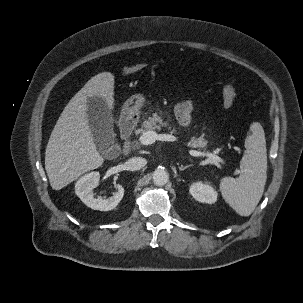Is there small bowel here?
Returning <instances> with one entry per match:
<instances>
[{"instance_id": "c3829d8e", "label": "small bowel", "mask_w": 303, "mask_h": 303, "mask_svg": "<svg viewBox=\"0 0 303 303\" xmlns=\"http://www.w3.org/2000/svg\"><path fill=\"white\" fill-rule=\"evenodd\" d=\"M193 110V105L190 101H185L176 106L175 114L183 126H188L191 122V113Z\"/></svg>"}]
</instances>
